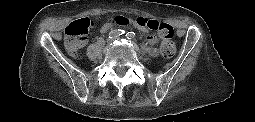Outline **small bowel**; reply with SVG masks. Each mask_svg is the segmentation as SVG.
I'll return each mask as SVG.
<instances>
[{"instance_id":"1","label":"small bowel","mask_w":255,"mask_h":122,"mask_svg":"<svg viewBox=\"0 0 255 122\" xmlns=\"http://www.w3.org/2000/svg\"><path fill=\"white\" fill-rule=\"evenodd\" d=\"M114 24H116L113 20H109L107 22H105L102 27L100 28V32L101 33H106L107 31H109L113 26ZM134 26V25H133ZM147 42L150 44V45H154L157 43L158 39L155 35H149L147 36L146 38Z\"/></svg>"}]
</instances>
